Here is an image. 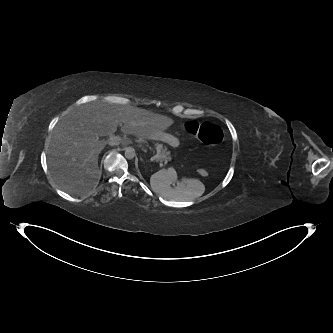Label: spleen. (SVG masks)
Segmentation results:
<instances>
[{
  "label": "spleen",
  "mask_w": 333,
  "mask_h": 333,
  "mask_svg": "<svg viewBox=\"0 0 333 333\" xmlns=\"http://www.w3.org/2000/svg\"><path fill=\"white\" fill-rule=\"evenodd\" d=\"M152 190L165 199L188 201L198 198L205 192L204 184L198 179L177 181V176L169 170H160L150 178Z\"/></svg>",
  "instance_id": "1"
}]
</instances>
